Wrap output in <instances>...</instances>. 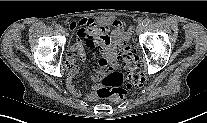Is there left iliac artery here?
Masks as SVG:
<instances>
[{"label": "left iliac artery", "mask_w": 207, "mask_h": 123, "mask_svg": "<svg viewBox=\"0 0 207 123\" xmlns=\"http://www.w3.org/2000/svg\"><path fill=\"white\" fill-rule=\"evenodd\" d=\"M149 23H150V19L146 18L145 20H143L142 25L147 26Z\"/></svg>", "instance_id": "obj_1"}]
</instances>
